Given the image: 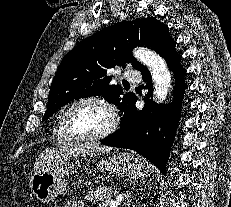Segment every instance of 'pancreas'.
I'll list each match as a JSON object with an SVG mask.
<instances>
[{
    "instance_id": "cf45deb5",
    "label": "pancreas",
    "mask_w": 231,
    "mask_h": 207,
    "mask_svg": "<svg viewBox=\"0 0 231 207\" xmlns=\"http://www.w3.org/2000/svg\"><path fill=\"white\" fill-rule=\"evenodd\" d=\"M116 193V189L114 188L101 186L90 190L86 195V199L93 204L101 206V204H108L111 201H114Z\"/></svg>"
}]
</instances>
